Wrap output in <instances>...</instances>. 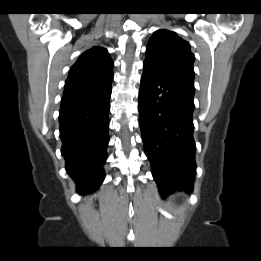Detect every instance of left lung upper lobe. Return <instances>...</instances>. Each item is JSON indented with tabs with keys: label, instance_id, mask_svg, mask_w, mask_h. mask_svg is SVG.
<instances>
[{
	"label": "left lung upper lobe",
	"instance_id": "1",
	"mask_svg": "<svg viewBox=\"0 0 261 261\" xmlns=\"http://www.w3.org/2000/svg\"><path fill=\"white\" fill-rule=\"evenodd\" d=\"M195 57L187 41L169 30H158L150 38L145 64L194 83Z\"/></svg>",
	"mask_w": 261,
	"mask_h": 261
}]
</instances>
